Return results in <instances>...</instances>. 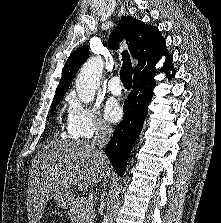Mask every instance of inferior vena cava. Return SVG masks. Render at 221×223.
Here are the masks:
<instances>
[{"mask_svg": "<svg viewBox=\"0 0 221 223\" xmlns=\"http://www.w3.org/2000/svg\"><path fill=\"white\" fill-rule=\"evenodd\" d=\"M111 135H112V129L108 124H106L104 122H100L97 124L95 136H94L91 144L93 146H98L100 149L99 153L104 157H105V155L102 151V148H104V146L109 142ZM104 185H105V182H104ZM104 195H105V193L103 191V194L101 196L102 201H103Z\"/></svg>", "mask_w": 221, "mask_h": 223, "instance_id": "602c4592", "label": "inferior vena cava"}]
</instances>
